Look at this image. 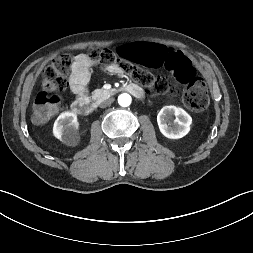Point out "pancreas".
I'll list each match as a JSON object with an SVG mask.
<instances>
[{"instance_id":"cf45deb5","label":"pancreas","mask_w":253,"mask_h":253,"mask_svg":"<svg viewBox=\"0 0 253 253\" xmlns=\"http://www.w3.org/2000/svg\"><path fill=\"white\" fill-rule=\"evenodd\" d=\"M105 93H108V91H106L104 89H97L92 92V95H93V97L98 98L101 94H105Z\"/></svg>"}]
</instances>
